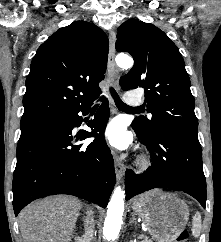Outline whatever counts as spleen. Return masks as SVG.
<instances>
[{
  "instance_id": "obj_1",
  "label": "spleen",
  "mask_w": 221,
  "mask_h": 242,
  "mask_svg": "<svg viewBox=\"0 0 221 242\" xmlns=\"http://www.w3.org/2000/svg\"><path fill=\"white\" fill-rule=\"evenodd\" d=\"M200 227H201V216L199 213H196L192 223V234L194 237H198L200 235Z\"/></svg>"
}]
</instances>
